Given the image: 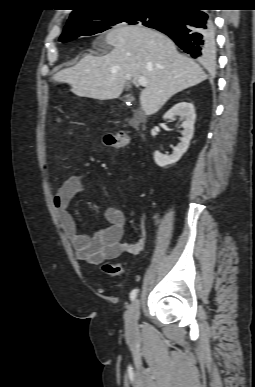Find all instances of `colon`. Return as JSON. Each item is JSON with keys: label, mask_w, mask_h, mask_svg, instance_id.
<instances>
[{"label": "colon", "mask_w": 255, "mask_h": 387, "mask_svg": "<svg viewBox=\"0 0 255 387\" xmlns=\"http://www.w3.org/2000/svg\"><path fill=\"white\" fill-rule=\"evenodd\" d=\"M103 143L109 148H123L131 145L132 139L127 133H106L103 137ZM102 270L110 275H120L123 269L120 265L113 263H103Z\"/></svg>", "instance_id": "obj_1"}]
</instances>
